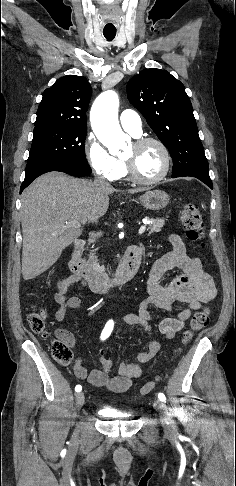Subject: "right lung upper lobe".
<instances>
[{
    "label": "right lung upper lobe",
    "mask_w": 236,
    "mask_h": 486,
    "mask_svg": "<svg viewBox=\"0 0 236 486\" xmlns=\"http://www.w3.org/2000/svg\"><path fill=\"white\" fill-rule=\"evenodd\" d=\"M92 88L85 77L67 75L43 92L35 128L86 129V111Z\"/></svg>",
    "instance_id": "right-lung-upper-lobe-1"
}]
</instances>
